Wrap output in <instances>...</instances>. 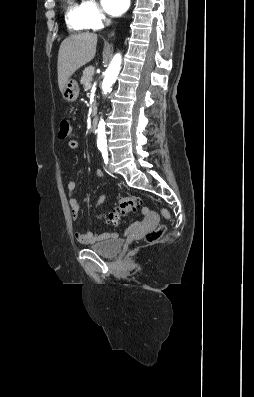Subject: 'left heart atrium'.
<instances>
[{
  "mask_svg": "<svg viewBox=\"0 0 254 397\" xmlns=\"http://www.w3.org/2000/svg\"><path fill=\"white\" fill-rule=\"evenodd\" d=\"M103 9L112 16L122 14L129 5V0H101Z\"/></svg>",
  "mask_w": 254,
  "mask_h": 397,
  "instance_id": "1",
  "label": "left heart atrium"
}]
</instances>
